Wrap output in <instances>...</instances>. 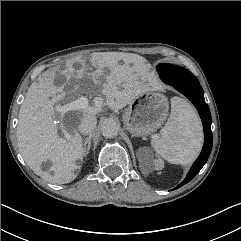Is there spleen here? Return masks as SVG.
I'll return each instance as SVG.
<instances>
[{
    "instance_id": "spleen-1",
    "label": "spleen",
    "mask_w": 241,
    "mask_h": 241,
    "mask_svg": "<svg viewBox=\"0 0 241 241\" xmlns=\"http://www.w3.org/2000/svg\"><path fill=\"white\" fill-rule=\"evenodd\" d=\"M202 144V125L195 109L183 98L173 97L168 121L152 138V147L168 162L187 165L197 158Z\"/></svg>"
}]
</instances>
